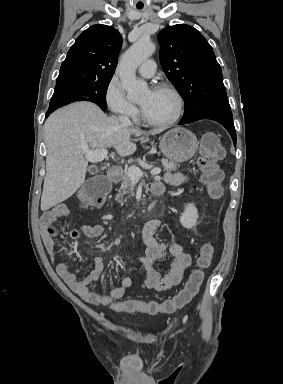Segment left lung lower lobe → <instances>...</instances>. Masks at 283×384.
Wrapping results in <instances>:
<instances>
[{
    "instance_id": "left-lung-lower-lobe-1",
    "label": "left lung lower lobe",
    "mask_w": 283,
    "mask_h": 384,
    "mask_svg": "<svg viewBox=\"0 0 283 384\" xmlns=\"http://www.w3.org/2000/svg\"><path fill=\"white\" fill-rule=\"evenodd\" d=\"M200 119H211L219 122L221 125H223L227 129V131L229 132V134L233 139L234 144H236V132H235L231 111L204 113L193 119H190L187 121H180L179 124L192 123Z\"/></svg>"
}]
</instances>
